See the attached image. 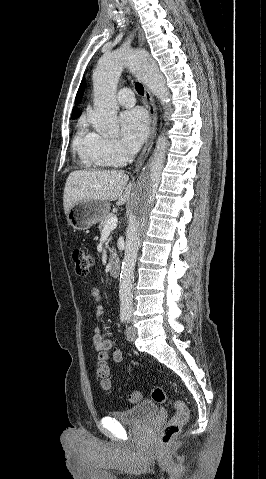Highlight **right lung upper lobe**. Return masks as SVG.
<instances>
[{"label": "right lung upper lobe", "mask_w": 266, "mask_h": 479, "mask_svg": "<svg viewBox=\"0 0 266 479\" xmlns=\"http://www.w3.org/2000/svg\"><path fill=\"white\" fill-rule=\"evenodd\" d=\"M84 87H85V80H83L82 83L80 84V87H79L78 92L76 94L75 101L77 103L81 102V99H82V96H83V93H84ZM80 114H81L80 110L77 107H74L73 110H72V118L76 119V118L79 117Z\"/></svg>", "instance_id": "1"}]
</instances>
